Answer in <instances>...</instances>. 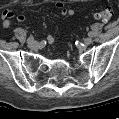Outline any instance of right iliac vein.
I'll return each instance as SVG.
<instances>
[{
    "mask_svg": "<svg viewBox=\"0 0 119 119\" xmlns=\"http://www.w3.org/2000/svg\"><path fill=\"white\" fill-rule=\"evenodd\" d=\"M27 45L29 48H34L36 46V41H34V40L29 41V42H27Z\"/></svg>",
    "mask_w": 119,
    "mask_h": 119,
    "instance_id": "63e3f726",
    "label": "right iliac vein"
}]
</instances>
